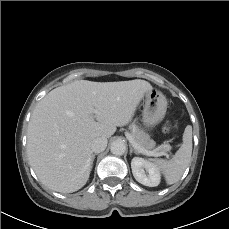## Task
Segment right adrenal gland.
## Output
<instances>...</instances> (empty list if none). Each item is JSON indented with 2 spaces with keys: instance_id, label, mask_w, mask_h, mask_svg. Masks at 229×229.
I'll return each instance as SVG.
<instances>
[{
  "instance_id": "2a0ac1e0",
  "label": "right adrenal gland",
  "mask_w": 229,
  "mask_h": 229,
  "mask_svg": "<svg viewBox=\"0 0 229 229\" xmlns=\"http://www.w3.org/2000/svg\"><path fill=\"white\" fill-rule=\"evenodd\" d=\"M96 155H98V153L92 154V158H91V167H92V165H93V161H94Z\"/></svg>"
}]
</instances>
